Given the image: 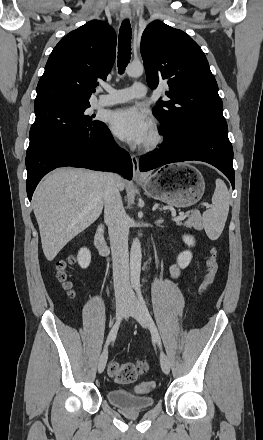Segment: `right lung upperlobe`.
<instances>
[{
  "label": "right lung upper lobe",
  "instance_id": "obj_1",
  "mask_svg": "<svg viewBox=\"0 0 263 440\" xmlns=\"http://www.w3.org/2000/svg\"><path fill=\"white\" fill-rule=\"evenodd\" d=\"M116 34L92 20L67 34L53 49L37 85L34 108L56 103H89L115 60Z\"/></svg>",
  "mask_w": 263,
  "mask_h": 440
}]
</instances>
